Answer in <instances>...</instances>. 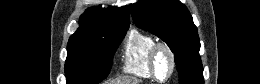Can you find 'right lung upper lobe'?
I'll return each instance as SVG.
<instances>
[{"mask_svg": "<svg viewBox=\"0 0 260 84\" xmlns=\"http://www.w3.org/2000/svg\"><path fill=\"white\" fill-rule=\"evenodd\" d=\"M79 24L68 43L89 41L107 30L128 29L129 10L127 6L108 9L91 7L81 16Z\"/></svg>", "mask_w": 260, "mask_h": 84, "instance_id": "obj_1", "label": "right lung upper lobe"}]
</instances>
